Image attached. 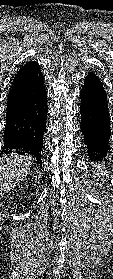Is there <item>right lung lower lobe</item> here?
Segmentation results:
<instances>
[{"instance_id": "right-lung-lower-lobe-1", "label": "right lung lower lobe", "mask_w": 113, "mask_h": 279, "mask_svg": "<svg viewBox=\"0 0 113 279\" xmlns=\"http://www.w3.org/2000/svg\"><path fill=\"white\" fill-rule=\"evenodd\" d=\"M47 92L38 63L11 85L2 152L27 153L41 165L46 130Z\"/></svg>"}]
</instances>
